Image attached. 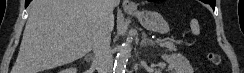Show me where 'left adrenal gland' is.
Segmentation results:
<instances>
[{
    "mask_svg": "<svg viewBox=\"0 0 244 73\" xmlns=\"http://www.w3.org/2000/svg\"><path fill=\"white\" fill-rule=\"evenodd\" d=\"M148 45L153 46L154 42L152 40H150L147 35L143 32L142 33V40L140 42V46L141 47H147Z\"/></svg>",
    "mask_w": 244,
    "mask_h": 73,
    "instance_id": "a2214340",
    "label": "left adrenal gland"
}]
</instances>
